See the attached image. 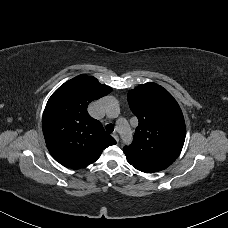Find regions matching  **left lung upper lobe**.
<instances>
[{
  "mask_svg": "<svg viewBox=\"0 0 228 228\" xmlns=\"http://www.w3.org/2000/svg\"><path fill=\"white\" fill-rule=\"evenodd\" d=\"M127 99L139 121L132 144L124 147L128 161L153 171L167 168L179 156L186 136L178 103L152 82L130 90Z\"/></svg>",
  "mask_w": 228,
  "mask_h": 228,
  "instance_id": "left-lung-upper-lobe-1",
  "label": "left lung upper lobe"
}]
</instances>
